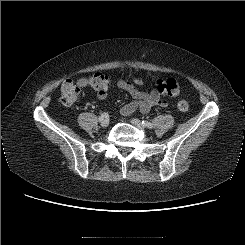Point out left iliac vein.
<instances>
[{"label":"left iliac vein","instance_id":"4c4485c4","mask_svg":"<svg viewBox=\"0 0 245 245\" xmlns=\"http://www.w3.org/2000/svg\"><path fill=\"white\" fill-rule=\"evenodd\" d=\"M131 123H132L134 126H136V127H138L139 129H141V130H144V129H145V126L142 124V122H141L139 119H132V120H131Z\"/></svg>","mask_w":245,"mask_h":245}]
</instances>
